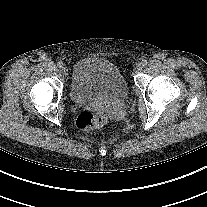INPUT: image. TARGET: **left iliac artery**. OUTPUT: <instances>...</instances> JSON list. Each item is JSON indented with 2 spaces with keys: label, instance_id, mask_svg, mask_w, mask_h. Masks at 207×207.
Wrapping results in <instances>:
<instances>
[{
  "label": "left iliac artery",
  "instance_id": "obj_1",
  "mask_svg": "<svg viewBox=\"0 0 207 207\" xmlns=\"http://www.w3.org/2000/svg\"><path fill=\"white\" fill-rule=\"evenodd\" d=\"M142 64H143V66H146L147 65V60H142Z\"/></svg>",
  "mask_w": 207,
  "mask_h": 207
}]
</instances>
